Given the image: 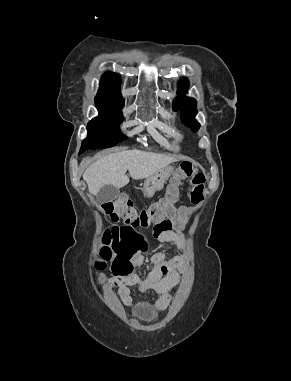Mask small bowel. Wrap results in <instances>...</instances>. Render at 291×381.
Masks as SVG:
<instances>
[{
  "label": "small bowel",
  "mask_w": 291,
  "mask_h": 381,
  "mask_svg": "<svg viewBox=\"0 0 291 381\" xmlns=\"http://www.w3.org/2000/svg\"><path fill=\"white\" fill-rule=\"evenodd\" d=\"M191 209L181 206L168 220L170 228L167 230H153V238L160 243H173L180 251L185 250L184 229L188 221ZM144 243V242H142ZM143 258L140 254H134L131 263L141 265ZM150 263L152 273L145 279L136 275L113 276L108 280V287L117 290L120 301L125 306L133 305L131 287L137 286L141 292L154 291L157 293L153 308L157 311L165 310L171 300V290L178 283L181 275L188 271L187 256L182 253L172 258H167L165 252H158L151 256ZM162 274L163 278H158Z\"/></svg>",
  "instance_id": "c3829d8e"
}]
</instances>
